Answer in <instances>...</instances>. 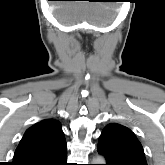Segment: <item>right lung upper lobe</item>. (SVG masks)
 Returning <instances> with one entry per match:
<instances>
[{
	"instance_id": "1",
	"label": "right lung upper lobe",
	"mask_w": 165,
	"mask_h": 165,
	"mask_svg": "<svg viewBox=\"0 0 165 165\" xmlns=\"http://www.w3.org/2000/svg\"><path fill=\"white\" fill-rule=\"evenodd\" d=\"M62 139H65L64 133L58 121L46 119L36 123L26 130L15 151L12 165H29Z\"/></svg>"
}]
</instances>
